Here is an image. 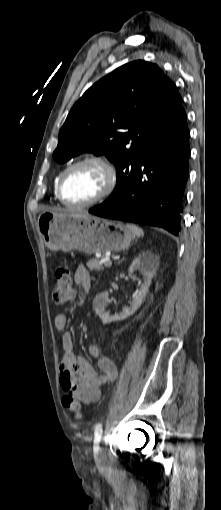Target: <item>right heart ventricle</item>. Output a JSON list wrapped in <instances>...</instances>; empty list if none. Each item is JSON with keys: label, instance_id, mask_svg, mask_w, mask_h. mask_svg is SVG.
I'll return each mask as SVG.
<instances>
[{"label": "right heart ventricle", "instance_id": "e07e8e85", "mask_svg": "<svg viewBox=\"0 0 221 510\" xmlns=\"http://www.w3.org/2000/svg\"><path fill=\"white\" fill-rule=\"evenodd\" d=\"M60 175H61V173H59V174L55 177V179H54V183H53L54 195H55L56 197H58V196H57V184H58V181H59Z\"/></svg>", "mask_w": 221, "mask_h": 510}]
</instances>
